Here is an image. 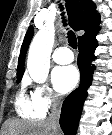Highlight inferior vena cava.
Wrapping results in <instances>:
<instances>
[{"mask_svg":"<svg viewBox=\"0 0 112 135\" xmlns=\"http://www.w3.org/2000/svg\"><path fill=\"white\" fill-rule=\"evenodd\" d=\"M60 113H61V101L58 98H53L51 114L49 115L47 121L51 124L52 129L56 135H58L59 131Z\"/></svg>","mask_w":112,"mask_h":135,"instance_id":"obj_1","label":"inferior vena cava"}]
</instances>
